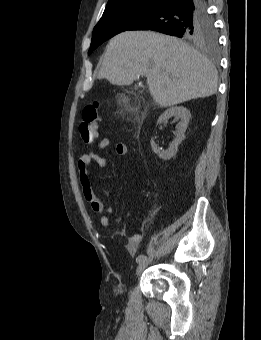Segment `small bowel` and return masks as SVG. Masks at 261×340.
<instances>
[{
  "label": "small bowel",
  "instance_id": "1",
  "mask_svg": "<svg viewBox=\"0 0 261 340\" xmlns=\"http://www.w3.org/2000/svg\"><path fill=\"white\" fill-rule=\"evenodd\" d=\"M109 144L110 140L104 137L98 142V147L103 150L106 149ZM114 152L117 156H125L127 153V146L124 143H117L114 147ZM92 163H96L98 167L102 169L107 168V161L104 157L93 151H87L78 160V178L83 197L88 203L91 211L96 214H101L103 212V203L95 193L88 175V167ZM100 224L102 228L112 230L108 217L102 216L100 218ZM113 233L118 236H125V233L122 231H113ZM141 241L142 235L139 233H135L128 238L126 247L130 254L136 253Z\"/></svg>",
  "mask_w": 261,
  "mask_h": 340
}]
</instances>
